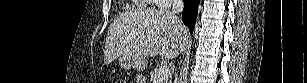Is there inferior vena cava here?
<instances>
[{"mask_svg": "<svg viewBox=\"0 0 307 83\" xmlns=\"http://www.w3.org/2000/svg\"><path fill=\"white\" fill-rule=\"evenodd\" d=\"M183 7V0H173L171 14L175 17L176 20H178L179 23H182V21L177 15L183 11Z\"/></svg>", "mask_w": 307, "mask_h": 83, "instance_id": "obj_1", "label": "inferior vena cava"}]
</instances>
